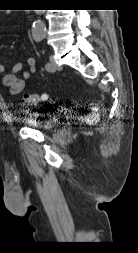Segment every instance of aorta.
I'll return each instance as SVG.
<instances>
[{
  "mask_svg": "<svg viewBox=\"0 0 138 253\" xmlns=\"http://www.w3.org/2000/svg\"><path fill=\"white\" fill-rule=\"evenodd\" d=\"M36 14L40 15L41 10H36ZM46 31L45 24L41 20L34 21L32 25V36L35 40H40L44 37Z\"/></svg>",
  "mask_w": 138,
  "mask_h": 253,
  "instance_id": "obj_1",
  "label": "aorta"
}]
</instances>
